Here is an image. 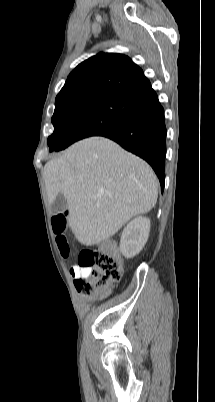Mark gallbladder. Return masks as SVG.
I'll use <instances>...</instances> for the list:
<instances>
[{
	"mask_svg": "<svg viewBox=\"0 0 215 402\" xmlns=\"http://www.w3.org/2000/svg\"><path fill=\"white\" fill-rule=\"evenodd\" d=\"M67 202L65 197L63 196L62 193H59L58 196L55 198V200L52 203V210L54 212H59L62 211L66 208Z\"/></svg>",
	"mask_w": 215,
	"mask_h": 402,
	"instance_id": "bac80fb5",
	"label": "gallbladder"
}]
</instances>
